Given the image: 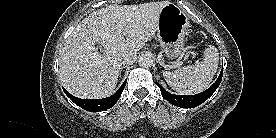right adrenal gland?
I'll return each instance as SVG.
<instances>
[{"mask_svg":"<svg viewBox=\"0 0 276 138\" xmlns=\"http://www.w3.org/2000/svg\"><path fill=\"white\" fill-rule=\"evenodd\" d=\"M126 67H127V66H122V67L120 68L119 77L121 76L122 70H123L124 68H126Z\"/></svg>","mask_w":276,"mask_h":138,"instance_id":"obj_1","label":"right adrenal gland"}]
</instances>
